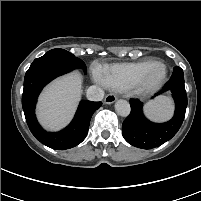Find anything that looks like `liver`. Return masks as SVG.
<instances>
[{"instance_id": "liver-1", "label": "liver", "mask_w": 201, "mask_h": 201, "mask_svg": "<svg viewBox=\"0 0 201 201\" xmlns=\"http://www.w3.org/2000/svg\"><path fill=\"white\" fill-rule=\"evenodd\" d=\"M82 93V77L76 72L49 84L39 97L37 116L47 129L57 130L72 118Z\"/></svg>"}]
</instances>
